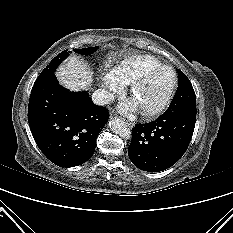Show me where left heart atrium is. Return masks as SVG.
Segmentation results:
<instances>
[{"label": "left heart atrium", "mask_w": 233, "mask_h": 233, "mask_svg": "<svg viewBox=\"0 0 233 233\" xmlns=\"http://www.w3.org/2000/svg\"><path fill=\"white\" fill-rule=\"evenodd\" d=\"M135 108L136 104L134 102H128L121 106V110L126 113L133 111Z\"/></svg>", "instance_id": "obj_1"}]
</instances>
